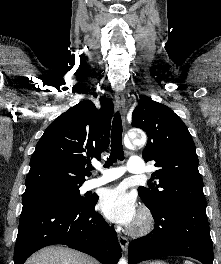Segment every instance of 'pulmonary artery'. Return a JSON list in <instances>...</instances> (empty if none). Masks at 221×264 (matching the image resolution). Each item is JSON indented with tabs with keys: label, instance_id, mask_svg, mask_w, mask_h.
I'll list each match as a JSON object with an SVG mask.
<instances>
[{
	"label": "pulmonary artery",
	"instance_id": "pulmonary-artery-1",
	"mask_svg": "<svg viewBox=\"0 0 221 264\" xmlns=\"http://www.w3.org/2000/svg\"><path fill=\"white\" fill-rule=\"evenodd\" d=\"M125 170L134 174H142L144 172L143 161L139 157H131L127 163L126 168L112 167L101 170V174L97 177L91 178L85 182L86 189H93L104 185L108 182L118 179L121 177Z\"/></svg>",
	"mask_w": 221,
	"mask_h": 264
}]
</instances>
